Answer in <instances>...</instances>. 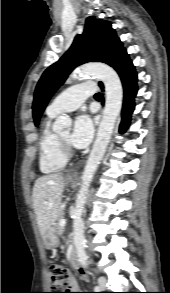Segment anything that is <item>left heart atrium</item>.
Segmentation results:
<instances>
[{
  "label": "left heart atrium",
  "instance_id": "left-heart-atrium-1",
  "mask_svg": "<svg viewBox=\"0 0 170 293\" xmlns=\"http://www.w3.org/2000/svg\"><path fill=\"white\" fill-rule=\"evenodd\" d=\"M93 133L94 126L91 118L88 115H81L74 121L69 141L76 148H85L90 143Z\"/></svg>",
  "mask_w": 170,
  "mask_h": 293
}]
</instances>
